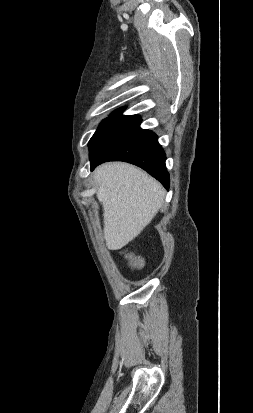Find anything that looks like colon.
<instances>
[{
	"mask_svg": "<svg viewBox=\"0 0 253 413\" xmlns=\"http://www.w3.org/2000/svg\"><path fill=\"white\" fill-rule=\"evenodd\" d=\"M127 258L133 268L140 269L143 266V262L139 257L133 254H128Z\"/></svg>",
	"mask_w": 253,
	"mask_h": 413,
	"instance_id": "colon-1",
	"label": "colon"
}]
</instances>
